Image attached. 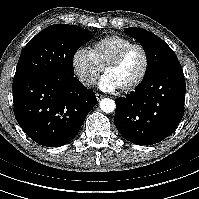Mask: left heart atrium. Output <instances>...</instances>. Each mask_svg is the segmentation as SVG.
I'll return each mask as SVG.
<instances>
[{"mask_svg":"<svg viewBox=\"0 0 199 199\" xmlns=\"http://www.w3.org/2000/svg\"><path fill=\"white\" fill-rule=\"evenodd\" d=\"M99 87L106 92H114L118 89V86L112 81V79L106 75H103L99 81Z\"/></svg>","mask_w":199,"mask_h":199,"instance_id":"left-heart-atrium-1","label":"left heart atrium"}]
</instances>
